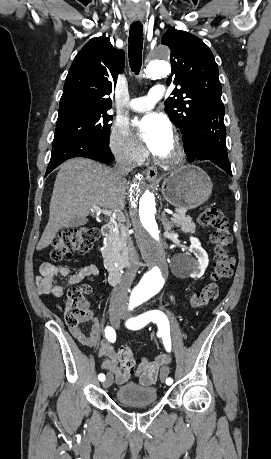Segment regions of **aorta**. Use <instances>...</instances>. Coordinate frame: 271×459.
<instances>
[{"instance_id":"aorta-1","label":"aorta","mask_w":271,"mask_h":459,"mask_svg":"<svg viewBox=\"0 0 271 459\" xmlns=\"http://www.w3.org/2000/svg\"><path fill=\"white\" fill-rule=\"evenodd\" d=\"M170 51L161 46L156 58L151 60L144 70L147 78L158 79L170 73L166 62ZM130 217L136 243L149 270L141 279L138 289L147 295L157 294L164 286L167 271L166 246L157 223L156 201L153 192L143 183V175L138 174L130 191Z\"/></svg>"}]
</instances>
